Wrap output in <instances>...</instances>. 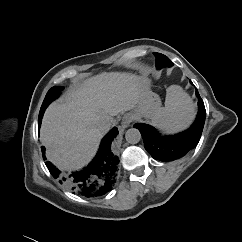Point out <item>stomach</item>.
<instances>
[{"label": "stomach", "instance_id": "stomach-1", "mask_svg": "<svg viewBox=\"0 0 242 242\" xmlns=\"http://www.w3.org/2000/svg\"><path fill=\"white\" fill-rule=\"evenodd\" d=\"M138 85L142 91V102L147 108L148 111L153 112L158 105L160 104L159 97L150 91L149 82L145 79H142L138 82ZM144 117H147L145 115Z\"/></svg>", "mask_w": 242, "mask_h": 242}]
</instances>
